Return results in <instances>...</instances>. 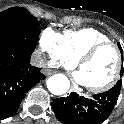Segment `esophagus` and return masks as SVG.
Returning a JSON list of instances; mask_svg holds the SVG:
<instances>
[{
  "label": "esophagus",
  "instance_id": "esophagus-1",
  "mask_svg": "<svg viewBox=\"0 0 124 124\" xmlns=\"http://www.w3.org/2000/svg\"><path fill=\"white\" fill-rule=\"evenodd\" d=\"M73 91H75V90H74L73 88H71V89L69 90V93H70V92H73Z\"/></svg>",
  "mask_w": 124,
  "mask_h": 124
}]
</instances>
